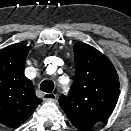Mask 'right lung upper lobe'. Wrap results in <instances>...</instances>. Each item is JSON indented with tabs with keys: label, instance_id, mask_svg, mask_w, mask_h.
<instances>
[{
	"label": "right lung upper lobe",
	"instance_id": "1",
	"mask_svg": "<svg viewBox=\"0 0 131 131\" xmlns=\"http://www.w3.org/2000/svg\"><path fill=\"white\" fill-rule=\"evenodd\" d=\"M29 47L13 44L0 50V123L17 127L42 102L24 75Z\"/></svg>",
	"mask_w": 131,
	"mask_h": 131
}]
</instances>
